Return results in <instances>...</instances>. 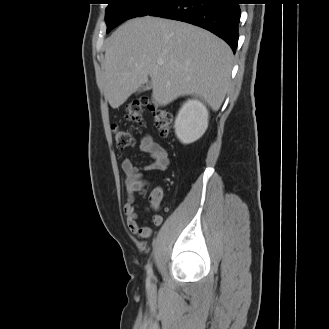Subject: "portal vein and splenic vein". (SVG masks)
Wrapping results in <instances>:
<instances>
[{"instance_id":"obj_1","label":"portal vein and splenic vein","mask_w":329,"mask_h":329,"mask_svg":"<svg viewBox=\"0 0 329 329\" xmlns=\"http://www.w3.org/2000/svg\"><path fill=\"white\" fill-rule=\"evenodd\" d=\"M158 65H163V62L162 61H158Z\"/></svg>"}]
</instances>
